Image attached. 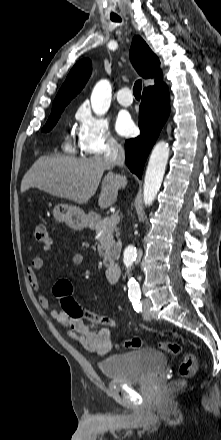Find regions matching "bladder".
Segmentation results:
<instances>
[{
  "mask_svg": "<svg viewBox=\"0 0 221 440\" xmlns=\"http://www.w3.org/2000/svg\"><path fill=\"white\" fill-rule=\"evenodd\" d=\"M166 365L167 359L162 352L144 348L103 360L100 369L110 381L132 384L157 376Z\"/></svg>",
  "mask_w": 221,
  "mask_h": 440,
  "instance_id": "1",
  "label": "bladder"
}]
</instances>
